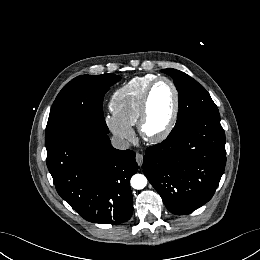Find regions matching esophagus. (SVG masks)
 Masks as SVG:
<instances>
[{
	"mask_svg": "<svg viewBox=\"0 0 260 260\" xmlns=\"http://www.w3.org/2000/svg\"><path fill=\"white\" fill-rule=\"evenodd\" d=\"M136 162L139 166H141L143 164V155L140 153L136 154Z\"/></svg>",
	"mask_w": 260,
	"mask_h": 260,
	"instance_id": "1",
	"label": "esophagus"
}]
</instances>
